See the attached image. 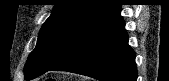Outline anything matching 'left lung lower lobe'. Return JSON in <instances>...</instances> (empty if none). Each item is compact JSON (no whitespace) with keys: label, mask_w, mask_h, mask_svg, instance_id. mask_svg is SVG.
Segmentation results:
<instances>
[{"label":"left lung lower lobe","mask_w":169,"mask_h":81,"mask_svg":"<svg viewBox=\"0 0 169 81\" xmlns=\"http://www.w3.org/2000/svg\"><path fill=\"white\" fill-rule=\"evenodd\" d=\"M120 12L116 2L76 36L48 71H68L99 81H136L135 53L128 45Z\"/></svg>","instance_id":"0a47b994"}]
</instances>
